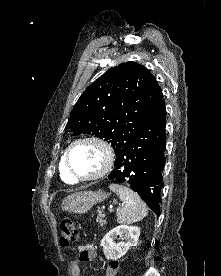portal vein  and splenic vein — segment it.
Instances as JSON below:
<instances>
[{
  "mask_svg": "<svg viewBox=\"0 0 221 276\" xmlns=\"http://www.w3.org/2000/svg\"><path fill=\"white\" fill-rule=\"evenodd\" d=\"M109 211H110V212H112V211H113L112 206H110Z\"/></svg>",
  "mask_w": 221,
  "mask_h": 276,
  "instance_id": "portal-vein-and-splenic-vein-1",
  "label": "portal vein and splenic vein"
}]
</instances>
